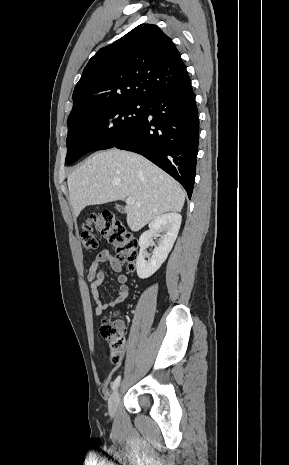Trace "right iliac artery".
I'll return each instance as SVG.
<instances>
[{
  "mask_svg": "<svg viewBox=\"0 0 289 465\" xmlns=\"http://www.w3.org/2000/svg\"><path fill=\"white\" fill-rule=\"evenodd\" d=\"M120 380H121V376L119 375L115 380L114 382L111 384V389L112 390H115L117 388V386L119 385L120 383Z\"/></svg>",
  "mask_w": 289,
  "mask_h": 465,
  "instance_id": "obj_1",
  "label": "right iliac artery"
}]
</instances>
